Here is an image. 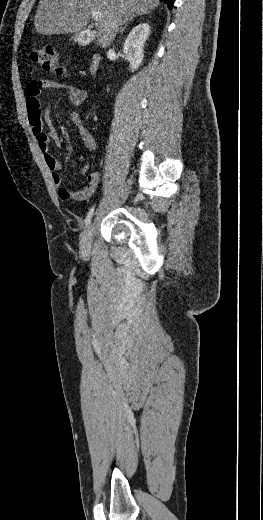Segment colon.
Returning <instances> with one entry per match:
<instances>
[{
    "label": "colon",
    "mask_w": 263,
    "mask_h": 520,
    "mask_svg": "<svg viewBox=\"0 0 263 520\" xmlns=\"http://www.w3.org/2000/svg\"><path fill=\"white\" fill-rule=\"evenodd\" d=\"M30 59L45 71L55 72L58 75L66 73L65 67L59 62L55 49L50 45H42L34 49L30 53Z\"/></svg>",
    "instance_id": "1"
}]
</instances>
